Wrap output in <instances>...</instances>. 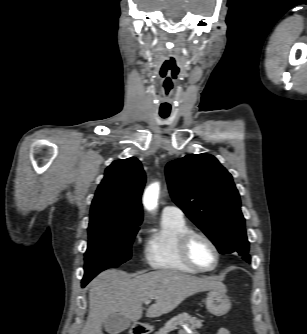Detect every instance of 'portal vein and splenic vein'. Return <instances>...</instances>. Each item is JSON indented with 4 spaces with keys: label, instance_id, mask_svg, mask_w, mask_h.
<instances>
[{
    "label": "portal vein and splenic vein",
    "instance_id": "1",
    "mask_svg": "<svg viewBox=\"0 0 307 334\" xmlns=\"http://www.w3.org/2000/svg\"><path fill=\"white\" fill-rule=\"evenodd\" d=\"M150 302H151V299H147V300L144 301V303H145L146 305H148Z\"/></svg>",
    "mask_w": 307,
    "mask_h": 334
}]
</instances>
